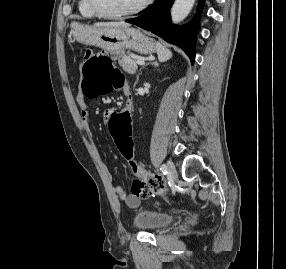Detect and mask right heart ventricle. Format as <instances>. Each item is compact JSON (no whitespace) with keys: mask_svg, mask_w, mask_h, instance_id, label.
<instances>
[{"mask_svg":"<svg viewBox=\"0 0 286 269\" xmlns=\"http://www.w3.org/2000/svg\"><path fill=\"white\" fill-rule=\"evenodd\" d=\"M78 9L81 16L85 18H93L95 17L94 13L91 11L88 5L87 0H79Z\"/></svg>","mask_w":286,"mask_h":269,"instance_id":"right-heart-ventricle-1","label":"right heart ventricle"}]
</instances>
